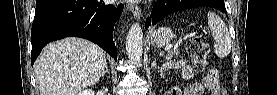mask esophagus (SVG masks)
Wrapping results in <instances>:
<instances>
[{
    "label": "esophagus",
    "mask_w": 277,
    "mask_h": 95,
    "mask_svg": "<svg viewBox=\"0 0 277 95\" xmlns=\"http://www.w3.org/2000/svg\"><path fill=\"white\" fill-rule=\"evenodd\" d=\"M127 9H129L130 11H132L134 17L137 19V20H140L141 16H142V12H141V9L136 6V5H133V4H128L127 5Z\"/></svg>",
    "instance_id": "obj_1"
}]
</instances>
